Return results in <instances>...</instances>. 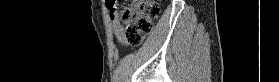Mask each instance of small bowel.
I'll return each instance as SVG.
<instances>
[{
  "label": "small bowel",
  "mask_w": 279,
  "mask_h": 82,
  "mask_svg": "<svg viewBox=\"0 0 279 82\" xmlns=\"http://www.w3.org/2000/svg\"><path fill=\"white\" fill-rule=\"evenodd\" d=\"M108 11H109V17L112 24L113 33L115 36V39L120 43H126L125 42V31L123 27L121 26L119 19L116 15V8H117V2H109L107 4Z\"/></svg>",
  "instance_id": "c3829d8e"
}]
</instances>
